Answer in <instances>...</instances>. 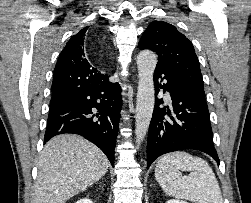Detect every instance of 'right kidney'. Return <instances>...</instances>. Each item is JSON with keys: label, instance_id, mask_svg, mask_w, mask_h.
<instances>
[{"label": "right kidney", "instance_id": "obj_1", "mask_svg": "<svg viewBox=\"0 0 251 203\" xmlns=\"http://www.w3.org/2000/svg\"><path fill=\"white\" fill-rule=\"evenodd\" d=\"M76 203H93V202L89 198H82L78 200Z\"/></svg>", "mask_w": 251, "mask_h": 203}]
</instances>
